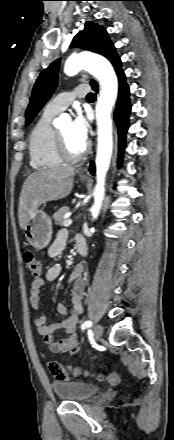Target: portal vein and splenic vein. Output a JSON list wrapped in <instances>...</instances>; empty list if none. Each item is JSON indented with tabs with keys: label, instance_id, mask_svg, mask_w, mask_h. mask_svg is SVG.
I'll return each mask as SVG.
<instances>
[{
	"label": "portal vein and splenic vein",
	"instance_id": "18ae733b",
	"mask_svg": "<svg viewBox=\"0 0 174 440\" xmlns=\"http://www.w3.org/2000/svg\"><path fill=\"white\" fill-rule=\"evenodd\" d=\"M72 224V220L71 219H66L63 223V226L67 227L70 226Z\"/></svg>",
	"mask_w": 174,
	"mask_h": 440
}]
</instances>
